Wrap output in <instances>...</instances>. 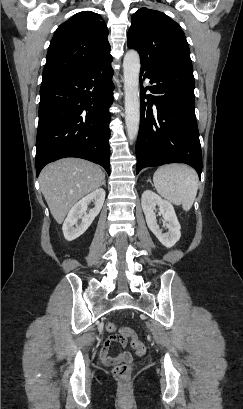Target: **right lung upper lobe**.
I'll return each mask as SVG.
<instances>
[{
  "label": "right lung upper lobe",
  "mask_w": 243,
  "mask_h": 409,
  "mask_svg": "<svg viewBox=\"0 0 243 409\" xmlns=\"http://www.w3.org/2000/svg\"><path fill=\"white\" fill-rule=\"evenodd\" d=\"M108 28L102 17L85 11L62 23L51 40L42 82L82 73L111 59Z\"/></svg>",
  "instance_id": "1"
}]
</instances>
